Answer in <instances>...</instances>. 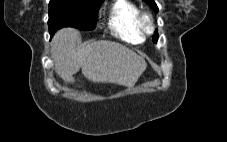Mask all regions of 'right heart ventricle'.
Masks as SVG:
<instances>
[{
  "mask_svg": "<svg viewBox=\"0 0 227 142\" xmlns=\"http://www.w3.org/2000/svg\"><path fill=\"white\" fill-rule=\"evenodd\" d=\"M140 9L132 0H114L109 9L108 27L121 39L130 43L143 40Z\"/></svg>",
  "mask_w": 227,
  "mask_h": 142,
  "instance_id": "obj_1",
  "label": "right heart ventricle"
}]
</instances>
